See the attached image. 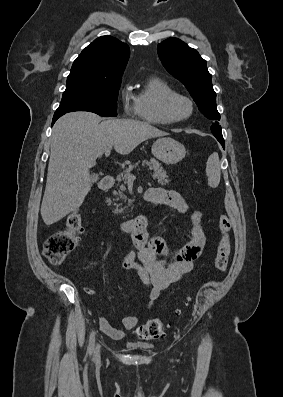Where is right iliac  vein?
<instances>
[{"label":"right iliac vein","mask_w":283,"mask_h":397,"mask_svg":"<svg viewBox=\"0 0 283 397\" xmlns=\"http://www.w3.org/2000/svg\"><path fill=\"white\" fill-rule=\"evenodd\" d=\"M99 354H100V347L97 346L95 351V357H99Z\"/></svg>","instance_id":"right-iliac-vein-1"}]
</instances>
